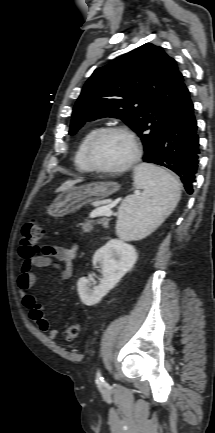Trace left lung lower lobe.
<instances>
[{
  "label": "left lung lower lobe",
  "mask_w": 215,
  "mask_h": 433,
  "mask_svg": "<svg viewBox=\"0 0 215 433\" xmlns=\"http://www.w3.org/2000/svg\"><path fill=\"white\" fill-rule=\"evenodd\" d=\"M199 136L189 91L183 84L172 101L151 158L144 162L175 172L188 194L193 193L200 159Z\"/></svg>",
  "instance_id": "left-lung-lower-lobe-1"
}]
</instances>
